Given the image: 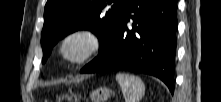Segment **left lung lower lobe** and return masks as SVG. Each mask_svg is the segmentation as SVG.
<instances>
[{
    "instance_id": "1",
    "label": "left lung lower lobe",
    "mask_w": 221,
    "mask_h": 102,
    "mask_svg": "<svg viewBox=\"0 0 221 102\" xmlns=\"http://www.w3.org/2000/svg\"><path fill=\"white\" fill-rule=\"evenodd\" d=\"M176 29L175 0H127L113 35L80 73L116 69L146 73L173 93Z\"/></svg>"
}]
</instances>
